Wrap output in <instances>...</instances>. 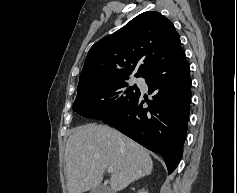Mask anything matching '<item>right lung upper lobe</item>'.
<instances>
[{"label": "right lung upper lobe", "instance_id": "right-lung-upper-lobe-1", "mask_svg": "<svg viewBox=\"0 0 237 193\" xmlns=\"http://www.w3.org/2000/svg\"><path fill=\"white\" fill-rule=\"evenodd\" d=\"M173 23L159 12L141 13L89 50L77 91L113 80L144 77L181 50Z\"/></svg>", "mask_w": 237, "mask_h": 193}]
</instances>
